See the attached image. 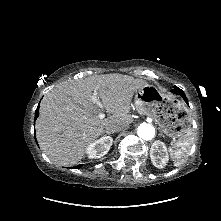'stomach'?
Here are the masks:
<instances>
[{
  "label": "stomach",
  "mask_w": 221,
  "mask_h": 221,
  "mask_svg": "<svg viewBox=\"0 0 221 221\" xmlns=\"http://www.w3.org/2000/svg\"><path fill=\"white\" fill-rule=\"evenodd\" d=\"M135 106L142 115L155 119L169 137L184 138L191 129L192 118L185 105L147 84L135 92Z\"/></svg>",
  "instance_id": "obj_1"
}]
</instances>
